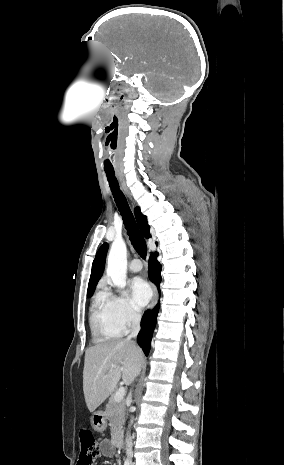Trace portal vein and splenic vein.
I'll use <instances>...</instances> for the list:
<instances>
[{
    "label": "portal vein and splenic vein",
    "instance_id": "obj_1",
    "mask_svg": "<svg viewBox=\"0 0 284 465\" xmlns=\"http://www.w3.org/2000/svg\"><path fill=\"white\" fill-rule=\"evenodd\" d=\"M112 369H115V367H112ZM124 395L125 389L124 387H120V389H118V391L115 393L114 401H116V403H121V401L124 399Z\"/></svg>",
    "mask_w": 284,
    "mask_h": 465
}]
</instances>
